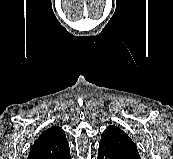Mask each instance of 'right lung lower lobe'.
<instances>
[{
	"label": "right lung lower lobe",
	"instance_id": "obj_1",
	"mask_svg": "<svg viewBox=\"0 0 173 159\" xmlns=\"http://www.w3.org/2000/svg\"><path fill=\"white\" fill-rule=\"evenodd\" d=\"M55 159H71L70 157V149L61 154L60 156L56 157Z\"/></svg>",
	"mask_w": 173,
	"mask_h": 159
}]
</instances>
